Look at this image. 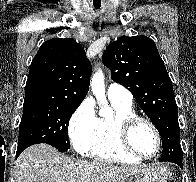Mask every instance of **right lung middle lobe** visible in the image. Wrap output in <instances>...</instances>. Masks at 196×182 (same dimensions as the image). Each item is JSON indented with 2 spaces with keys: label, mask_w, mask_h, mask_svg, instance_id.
Segmentation results:
<instances>
[{
  "label": "right lung middle lobe",
  "mask_w": 196,
  "mask_h": 182,
  "mask_svg": "<svg viewBox=\"0 0 196 182\" xmlns=\"http://www.w3.org/2000/svg\"><path fill=\"white\" fill-rule=\"evenodd\" d=\"M78 105H44L23 108L17 153L37 143H47L60 152L70 149L68 123Z\"/></svg>",
  "instance_id": "right-lung-middle-lobe-1"
}]
</instances>
